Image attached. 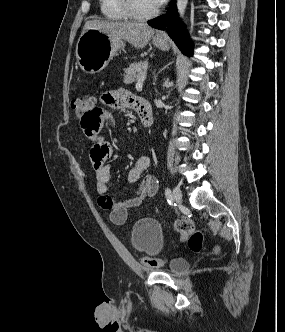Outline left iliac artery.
Segmentation results:
<instances>
[{"mask_svg": "<svg viewBox=\"0 0 285 332\" xmlns=\"http://www.w3.org/2000/svg\"><path fill=\"white\" fill-rule=\"evenodd\" d=\"M165 196H166L168 203L171 204L173 202V197L171 194V190L169 188L165 189Z\"/></svg>", "mask_w": 285, "mask_h": 332, "instance_id": "left-iliac-artery-1", "label": "left iliac artery"}]
</instances>
